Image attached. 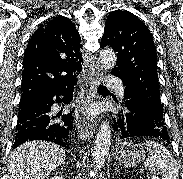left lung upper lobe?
<instances>
[{"instance_id": "5c2ea615", "label": "left lung upper lobe", "mask_w": 183, "mask_h": 179, "mask_svg": "<svg viewBox=\"0 0 183 179\" xmlns=\"http://www.w3.org/2000/svg\"><path fill=\"white\" fill-rule=\"evenodd\" d=\"M117 52L111 74L122 79L125 101L134 100L147 112L164 121L157 75L156 48L144 23L123 10L111 12L105 23L101 47Z\"/></svg>"}]
</instances>
